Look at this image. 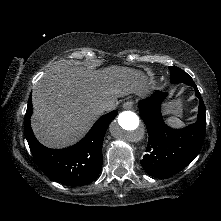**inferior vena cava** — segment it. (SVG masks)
<instances>
[{"label": "inferior vena cava", "mask_w": 221, "mask_h": 221, "mask_svg": "<svg viewBox=\"0 0 221 221\" xmlns=\"http://www.w3.org/2000/svg\"><path fill=\"white\" fill-rule=\"evenodd\" d=\"M113 109V105L110 103H103L98 107V113L102 114L104 112H109Z\"/></svg>", "instance_id": "obj_1"}]
</instances>
